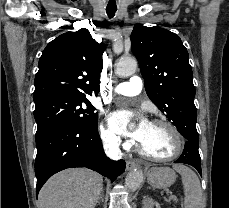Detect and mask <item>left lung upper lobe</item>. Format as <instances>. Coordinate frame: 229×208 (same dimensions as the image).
<instances>
[{
  "mask_svg": "<svg viewBox=\"0 0 229 208\" xmlns=\"http://www.w3.org/2000/svg\"><path fill=\"white\" fill-rule=\"evenodd\" d=\"M131 50L139 62L150 100L181 134L196 130L193 73L179 36L160 27L136 24Z\"/></svg>",
  "mask_w": 229,
  "mask_h": 208,
  "instance_id": "1",
  "label": "left lung upper lobe"
}]
</instances>
